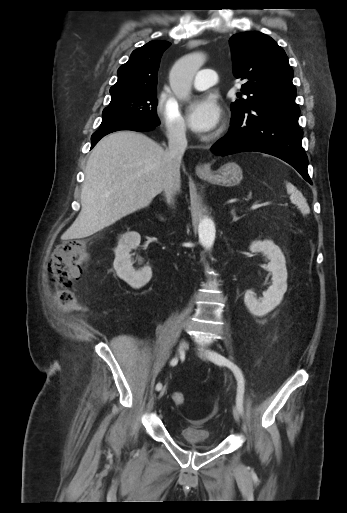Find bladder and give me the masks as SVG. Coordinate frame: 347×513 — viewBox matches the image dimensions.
<instances>
[{"instance_id":"obj_1","label":"bladder","mask_w":347,"mask_h":513,"mask_svg":"<svg viewBox=\"0 0 347 513\" xmlns=\"http://www.w3.org/2000/svg\"><path fill=\"white\" fill-rule=\"evenodd\" d=\"M180 436L187 446L203 451H209L218 446V443L211 437V432L205 428L185 426L181 429Z\"/></svg>"}]
</instances>
